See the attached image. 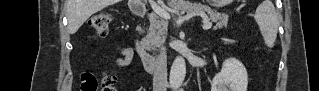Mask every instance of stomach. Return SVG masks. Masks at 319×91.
<instances>
[{"instance_id": "1", "label": "stomach", "mask_w": 319, "mask_h": 91, "mask_svg": "<svg viewBox=\"0 0 319 91\" xmlns=\"http://www.w3.org/2000/svg\"><path fill=\"white\" fill-rule=\"evenodd\" d=\"M225 2H228V1H221V2H218V3H215L216 6H218L219 4H225Z\"/></svg>"}]
</instances>
